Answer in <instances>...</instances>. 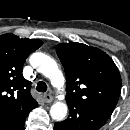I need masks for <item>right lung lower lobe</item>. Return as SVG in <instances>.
<instances>
[{"label":"right lung lower lobe","instance_id":"1","mask_svg":"<svg viewBox=\"0 0 130 130\" xmlns=\"http://www.w3.org/2000/svg\"><path fill=\"white\" fill-rule=\"evenodd\" d=\"M26 117L14 124L1 128L0 130H24V124H25Z\"/></svg>","mask_w":130,"mask_h":130}]
</instances>
